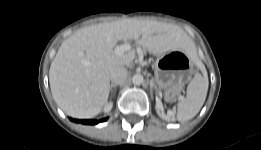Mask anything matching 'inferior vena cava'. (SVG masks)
I'll return each mask as SVG.
<instances>
[{"instance_id": "602c4592", "label": "inferior vena cava", "mask_w": 261, "mask_h": 150, "mask_svg": "<svg viewBox=\"0 0 261 150\" xmlns=\"http://www.w3.org/2000/svg\"><path fill=\"white\" fill-rule=\"evenodd\" d=\"M128 76V71L125 66L113 67L110 71V80L112 84L123 83Z\"/></svg>"}]
</instances>
